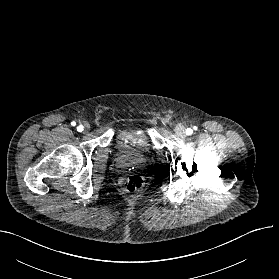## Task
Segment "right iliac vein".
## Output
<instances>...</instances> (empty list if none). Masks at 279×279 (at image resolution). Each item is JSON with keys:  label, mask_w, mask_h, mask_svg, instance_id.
Wrapping results in <instances>:
<instances>
[{"label": "right iliac vein", "mask_w": 279, "mask_h": 279, "mask_svg": "<svg viewBox=\"0 0 279 279\" xmlns=\"http://www.w3.org/2000/svg\"><path fill=\"white\" fill-rule=\"evenodd\" d=\"M89 128H90L89 124H88V123H86V124H85V131H88V130H89Z\"/></svg>", "instance_id": "1"}]
</instances>
